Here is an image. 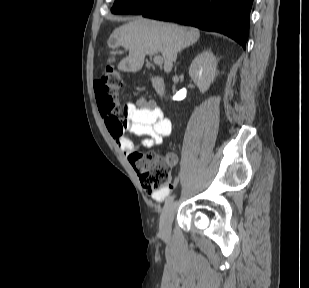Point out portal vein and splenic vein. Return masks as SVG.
I'll list each match as a JSON object with an SVG mask.
<instances>
[{
	"instance_id": "18ae733b",
	"label": "portal vein and splenic vein",
	"mask_w": 309,
	"mask_h": 288,
	"mask_svg": "<svg viewBox=\"0 0 309 288\" xmlns=\"http://www.w3.org/2000/svg\"><path fill=\"white\" fill-rule=\"evenodd\" d=\"M153 61L156 65L161 66L163 64V58L161 56H154Z\"/></svg>"
}]
</instances>
